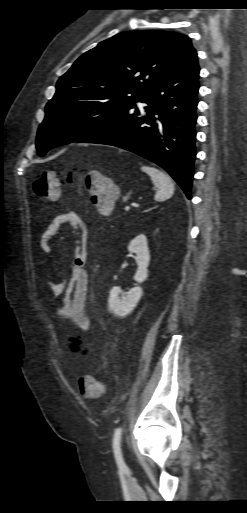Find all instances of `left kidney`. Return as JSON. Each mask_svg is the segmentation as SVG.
Masks as SVG:
<instances>
[{
	"label": "left kidney",
	"instance_id": "obj_1",
	"mask_svg": "<svg viewBox=\"0 0 247 513\" xmlns=\"http://www.w3.org/2000/svg\"><path fill=\"white\" fill-rule=\"evenodd\" d=\"M128 251L136 254L135 261L138 268L134 280L138 283H142L148 276L147 267L150 262V252L146 236L143 234L136 236L130 242ZM121 292L120 287H113L111 289L108 306L116 316L124 317L131 313L136 307L142 296V288L140 286L133 287L120 297Z\"/></svg>",
	"mask_w": 247,
	"mask_h": 513
}]
</instances>
